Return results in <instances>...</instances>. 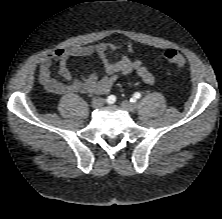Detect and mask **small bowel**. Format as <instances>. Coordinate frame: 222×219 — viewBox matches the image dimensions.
<instances>
[{
	"label": "small bowel",
	"mask_w": 222,
	"mask_h": 219,
	"mask_svg": "<svg viewBox=\"0 0 222 219\" xmlns=\"http://www.w3.org/2000/svg\"><path fill=\"white\" fill-rule=\"evenodd\" d=\"M119 49H125L128 54L118 59L112 58L111 54ZM133 52L134 47L130 42H103L94 45L56 49L41 61L38 80L47 91L55 94L87 93L106 95L121 75L130 73H136L146 84H152L154 82L153 75L141 61L132 57ZM93 55L100 58L104 71L103 75L99 76L96 72H90L80 79L75 78L68 68L69 60L74 57ZM54 65L58 66V72L66 83L52 78L51 68Z\"/></svg>",
	"instance_id": "1"
}]
</instances>
